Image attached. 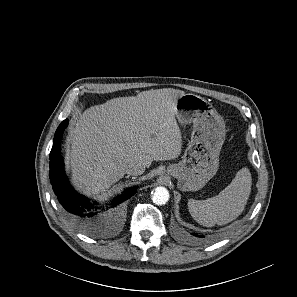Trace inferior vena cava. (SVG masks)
<instances>
[{
	"instance_id": "inferior-vena-cava-1",
	"label": "inferior vena cava",
	"mask_w": 297,
	"mask_h": 297,
	"mask_svg": "<svg viewBox=\"0 0 297 297\" xmlns=\"http://www.w3.org/2000/svg\"><path fill=\"white\" fill-rule=\"evenodd\" d=\"M125 171L129 175H141L145 171V166L139 162L130 161L125 166Z\"/></svg>"
}]
</instances>
